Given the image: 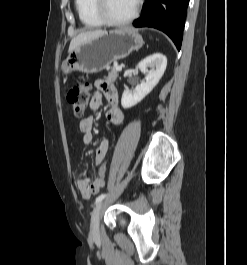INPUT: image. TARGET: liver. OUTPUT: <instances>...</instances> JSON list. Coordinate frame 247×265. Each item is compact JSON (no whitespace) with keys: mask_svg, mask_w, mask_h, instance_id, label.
<instances>
[{"mask_svg":"<svg viewBox=\"0 0 247 265\" xmlns=\"http://www.w3.org/2000/svg\"><path fill=\"white\" fill-rule=\"evenodd\" d=\"M103 33H105V31L103 30H95V31H88V32L80 33L79 35H77L71 40L68 51L71 52L81 43L88 41L90 39L96 38L102 35Z\"/></svg>","mask_w":247,"mask_h":265,"instance_id":"liver-1","label":"liver"}]
</instances>
